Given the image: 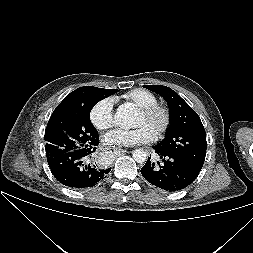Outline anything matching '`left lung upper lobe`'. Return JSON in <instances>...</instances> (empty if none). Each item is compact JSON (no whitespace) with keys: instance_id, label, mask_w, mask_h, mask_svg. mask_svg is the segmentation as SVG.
<instances>
[{"instance_id":"left-lung-upper-lobe-1","label":"left lung upper lobe","mask_w":253,"mask_h":253,"mask_svg":"<svg viewBox=\"0 0 253 253\" xmlns=\"http://www.w3.org/2000/svg\"><path fill=\"white\" fill-rule=\"evenodd\" d=\"M167 102L170 125L165 138L155 147L201 170L206 155V133L198 114L171 88L144 85Z\"/></svg>"}]
</instances>
